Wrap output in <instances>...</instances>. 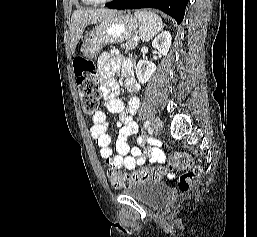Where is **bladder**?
<instances>
[{
	"label": "bladder",
	"mask_w": 257,
	"mask_h": 237,
	"mask_svg": "<svg viewBox=\"0 0 257 237\" xmlns=\"http://www.w3.org/2000/svg\"><path fill=\"white\" fill-rule=\"evenodd\" d=\"M122 192L148 206L161 204L167 195L165 186L156 180L133 183L130 186L122 188Z\"/></svg>",
	"instance_id": "1"
}]
</instances>
